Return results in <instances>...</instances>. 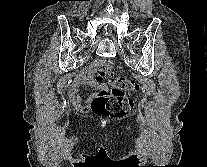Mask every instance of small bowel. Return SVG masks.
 <instances>
[{
    "mask_svg": "<svg viewBox=\"0 0 207 167\" xmlns=\"http://www.w3.org/2000/svg\"><path fill=\"white\" fill-rule=\"evenodd\" d=\"M82 86H90L96 88V84L92 80L90 72L81 73L76 80L71 84L68 90V96L76 108L82 112H86L94 98V94L89 95L86 99L81 100L79 97V90Z\"/></svg>",
    "mask_w": 207,
    "mask_h": 167,
    "instance_id": "obj_1",
    "label": "small bowel"
}]
</instances>
